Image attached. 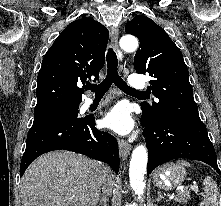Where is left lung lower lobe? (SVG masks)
<instances>
[{
    "mask_svg": "<svg viewBox=\"0 0 221 206\" xmlns=\"http://www.w3.org/2000/svg\"><path fill=\"white\" fill-rule=\"evenodd\" d=\"M141 123L145 127L148 148V174L172 159L188 158L203 161L219 174L213 144L201 120H168L154 123L142 108Z\"/></svg>",
    "mask_w": 221,
    "mask_h": 206,
    "instance_id": "left-lung-lower-lobe-1",
    "label": "left lung lower lobe"
}]
</instances>
